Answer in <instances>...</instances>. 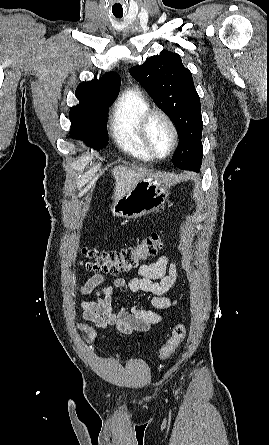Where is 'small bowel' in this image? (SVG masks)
<instances>
[{"label": "small bowel", "mask_w": 269, "mask_h": 445, "mask_svg": "<svg viewBox=\"0 0 269 445\" xmlns=\"http://www.w3.org/2000/svg\"><path fill=\"white\" fill-rule=\"evenodd\" d=\"M137 276L126 280L116 278L111 285L99 287L106 280L102 273L90 277L78 288V293H94L91 301H81V315L99 328H115L121 333L146 332L152 325L162 321V315L154 310L138 308L134 305L113 306L112 296L115 290L128 289L134 294H147L148 303L156 310H166L177 305V301L166 296L174 286L177 277V266L168 255L159 257L155 262L141 264L137 267ZM76 328L85 333L82 341L91 343L96 338V330L85 323H77Z\"/></svg>", "instance_id": "c3829d8e"}]
</instances>
